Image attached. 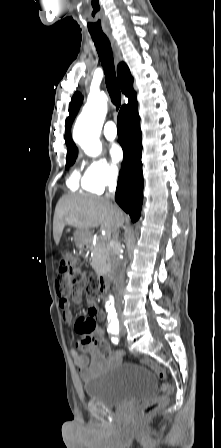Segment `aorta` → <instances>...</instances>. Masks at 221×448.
I'll list each match as a JSON object with an SVG mask.
<instances>
[{
    "label": "aorta",
    "instance_id": "1",
    "mask_svg": "<svg viewBox=\"0 0 221 448\" xmlns=\"http://www.w3.org/2000/svg\"><path fill=\"white\" fill-rule=\"evenodd\" d=\"M107 113V100L104 95L90 97L76 120L73 139L84 152L92 157L102 151L100 132Z\"/></svg>",
    "mask_w": 221,
    "mask_h": 448
}]
</instances>
